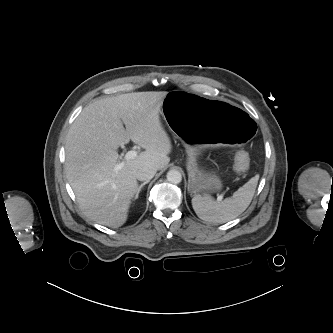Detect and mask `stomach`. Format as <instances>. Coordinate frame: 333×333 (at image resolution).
<instances>
[{"instance_id":"stomach-1","label":"stomach","mask_w":333,"mask_h":333,"mask_svg":"<svg viewBox=\"0 0 333 333\" xmlns=\"http://www.w3.org/2000/svg\"><path fill=\"white\" fill-rule=\"evenodd\" d=\"M162 113L170 130L185 145L188 154V190L192 194L222 189L220 177L200 167L198 159L214 143L242 144L255 134L252 114L235 104L195 92L171 91L162 102Z\"/></svg>"}]
</instances>
